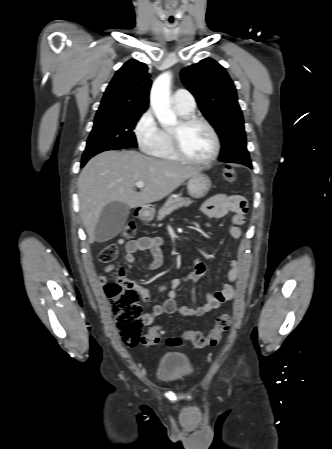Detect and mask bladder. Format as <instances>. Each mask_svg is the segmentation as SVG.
Returning <instances> with one entry per match:
<instances>
[{
    "mask_svg": "<svg viewBox=\"0 0 332 449\" xmlns=\"http://www.w3.org/2000/svg\"><path fill=\"white\" fill-rule=\"evenodd\" d=\"M195 373L191 357L183 352L163 354L158 362L156 378L165 383H174L191 378Z\"/></svg>",
    "mask_w": 332,
    "mask_h": 449,
    "instance_id": "31cf9c89",
    "label": "bladder"
}]
</instances>
